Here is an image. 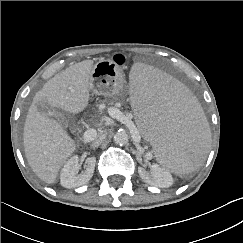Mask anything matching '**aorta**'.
Returning <instances> with one entry per match:
<instances>
[{
	"label": "aorta",
	"instance_id": "aorta-1",
	"mask_svg": "<svg viewBox=\"0 0 243 243\" xmlns=\"http://www.w3.org/2000/svg\"><path fill=\"white\" fill-rule=\"evenodd\" d=\"M113 140L115 144L122 146L128 143L129 136L124 130H119L115 133Z\"/></svg>",
	"mask_w": 243,
	"mask_h": 243
}]
</instances>
